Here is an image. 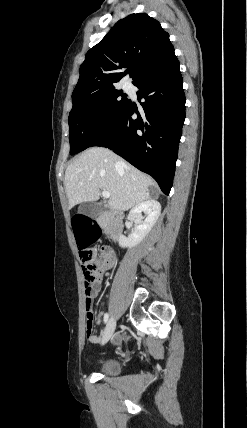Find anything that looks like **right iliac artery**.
Masks as SVG:
<instances>
[{
	"instance_id": "right-iliac-artery-1",
	"label": "right iliac artery",
	"mask_w": 247,
	"mask_h": 428,
	"mask_svg": "<svg viewBox=\"0 0 247 428\" xmlns=\"http://www.w3.org/2000/svg\"><path fill=\"white\" fill-rule=\"evenodd\" d=\"M108 319H109V315H108V313H106L104 315V323H106L108 321Z\"/></svg>"
}]
</instances>
